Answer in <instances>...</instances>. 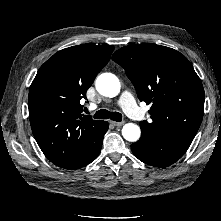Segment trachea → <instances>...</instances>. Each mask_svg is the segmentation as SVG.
<instances>
[{
  "instance_id": "3493384b",
  "label": "trachea",
  "mask_w": 221,
  "mask_h": 221,
  "mask_svg": "<svg viewBox=\"0 0 221 221\" xmlns=\"http://www.w3.org/2000/svg\"><path fill=\"white\" fill-rule=\"evenodd\" d=\"M94 118L96 119H111L116 122L122 121V115L119 112H110L105 109H101L94 114Z\"/></svg>"
}]
</instances>
